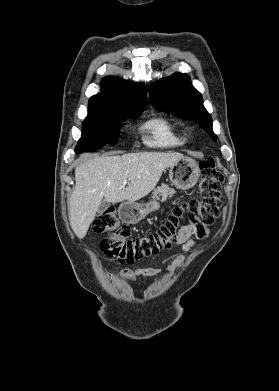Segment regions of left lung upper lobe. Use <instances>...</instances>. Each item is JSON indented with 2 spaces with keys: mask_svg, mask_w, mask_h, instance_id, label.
Listing matches in <instances>:
<instances>
[{
  "mask_svg": "<svg viewBox=\"0 0 279 391\" xmlns=\"http://www.w3.org/2000/svg\"><path fill=\"white\" fill-rule=\"evenodd\" d=\"M150 98L156 109L170 112L185 120L196 121L217 140L212 130V118L203 106L200 92L192 87L188 75L174 73L160 80L151 88Z\"/></svg>",
  "mask_w": 279,
  "mask_h": 391,
  "instance_id": "obj_1",
  "label": "left lung upper lobe"
}]
</instances>
